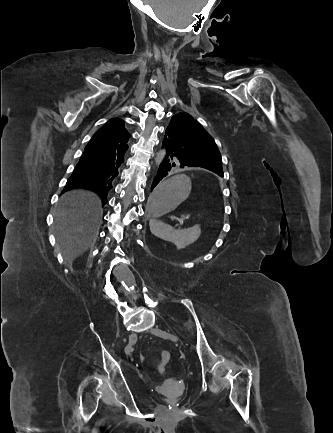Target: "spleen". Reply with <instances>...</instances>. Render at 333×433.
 Instances as JSON below:
<instances>
[{
  "label": "spleen",
  "mask_w": 333,
  "mask_h": 433,
  "mask_svg": "<svg viewBox=\"0 0 333 433\" xmlns=\"http://www.w3.org/2000/svg\"><path fill=\"white\" fill-rule=\"evenodd\" d=\"M149 226L153 235L172 242L177 249L185 248L194 243L201 234V228L199 225H195L188 229H175L161 220H149Z\"/></svg>",
  "instance_id": "obj_1"
}]
</instances>
